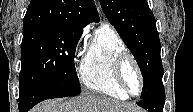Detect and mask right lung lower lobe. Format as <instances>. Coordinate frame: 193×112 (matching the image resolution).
I'll list each match as a JSON object with an SVG mask.
<instances>
[{
	"label": "right lung lower lobe",
	"mask_w": 193,
	"mask_h": 112,
	"mask_svg": "<svg viewBox=\"0 0 193 112\" xmlns=\"http://www.w3.org/2000/svg\"><path fill=\"white\" fill-rule=\"evenodd\" d=\"M49 96L45 95L41 91H34L30 94L23 96H19V112H27L30 110L33 106H35L37 103L48 99Z\"/></svg>",
	"instance_id": "right-lung-lower-lobe-1"
}]
</instances>
